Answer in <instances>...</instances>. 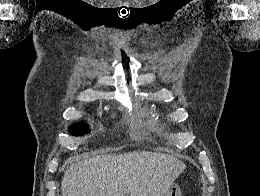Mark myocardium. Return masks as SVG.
<instances>
[{"instance_id": "myocardium-1", "label": "myocardium", "mask_w": 260, "mask_h": 196, "mask_svg": "<svg viewBox=\"0 0 260 196\" xmlns=\"http://www.w3.org/2000/svg\"><path fill=\"white\" fill-rule=\"evenodd\" d=\"M99 192H116V190H100Z\"/></svg>"}]
</instances>
